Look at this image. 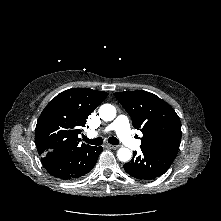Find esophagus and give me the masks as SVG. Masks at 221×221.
<instances>
[{
	"label": "esophagus",
	"mask_w": 221,
	"mask_h": 221,
	"mask_svg": "<svg viewBox=\"0 0 221 221\" xmlns=\"http://www.w3.org/2000/svg\"><path fill=\"white\" fill-rule=\"evenodd\" d=\"M106 146H107L108 148H110V149H117V148H119L118 145H112V144H107Z\"/></svg>",
	"instance_id": "1"
}]
</instances>
